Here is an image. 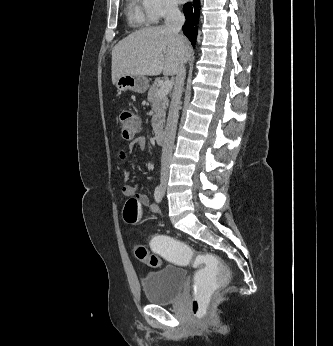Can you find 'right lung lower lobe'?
<instances>
[{
  "mask_svg": "<svg viewBox=\"0 0 333 346\" xmlns=\"http://www.w3.org/2000/svg\"><path fill=\"white\" fill-rule=\"evenodd\" d=\"M199 11V2L194 0L193 3H186L183 6V12L186 17V22L183 25V33L190 40L191 44L194 46L196 42V22Z\"/></svg>",
  "mask_w": 333,
  "mask_h": 346,
  "instance_id": "right-lung-lower-lobe-1",
  "label": "right lung lower lobe"
}]
</instances>
